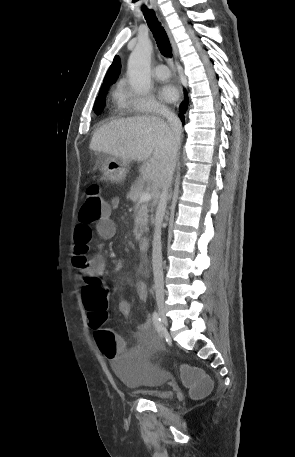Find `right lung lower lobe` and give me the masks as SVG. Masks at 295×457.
I'll return each mask as SVG.
<instances>
[{
	"label": "right lung lower lobe",
	"instance_id": "1",
	"mask_svg": "<svg viewBox=\"0 0 295 457\" xmlns=\"http://www.w3.org/2000/svg\"><path fill=\"white\" fill-rule=\"evenodd\" d=\"M187 107H188V96H187V93L185 91V100L180 105V113H179V117L181 118L182 121H184V115L183 114L186 112Z\"/></svg>",
	"mask_w": 295,
	"mask_h": 457
}]
</instances>
